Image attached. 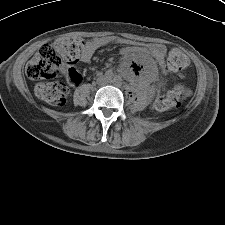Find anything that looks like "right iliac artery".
I'll use <instances>...</instances> for the list:
<instances>
[{"mask_svg": "<svg viewBox=\"0 0 225 225\" xmlns=\"http://www.w3.org/2000/svg\"><path fill=\"white\" fill-rule=\"evenodd\" d=\"M105 76L106 78H111L113 76V73L111 71H106Z\"/></svg>", "mask_w": 225, "mask_h": 225, "instance_id": "82829eb1", "label": "right iliac artery"}]
</instances>
